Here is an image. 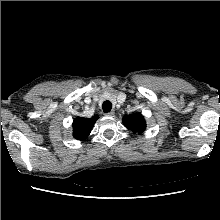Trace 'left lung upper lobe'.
<instances>
[{"instance_id":"5c2ea615","label":"left lung upper lobe","mask_w":220,"mask_h":220,"mask_svg":"<svg viewBox=\"0 0 220 220\" xmlns=\"http://www.w3.org/2000/svg\"><path fill=\"white\" fill-rule=\"evenodd\" d=\"M122 121L123 124L134 133L141 134L146 128L144 117L139 113L126 115Z\"/></svg>"}]
</instances>
